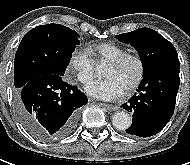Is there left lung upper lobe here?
Masks as SVG:
<instances>
[{
	"label": "left lung upper lobe",
	"instance_id": "1",
	"mask_svg": "<svg viewBox=\"0 0 190 165\" xmlns=\"http://www.w3.org/2000/svg\"><path fill=\"white\" fill-rule=\"evenodd\" d=\"M116 37L121 42L129 43L138 51L143 64L144 75L162 65L179 63L174 46L150 28H139Z\"/></svg>",
	"mask_w": 190,
	"mask_h": 165
}]
</instances>
